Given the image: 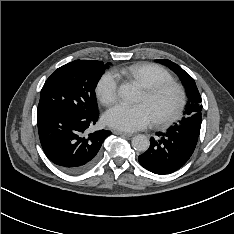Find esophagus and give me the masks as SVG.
Instances as JSON below:
<instances>
[{"label":"esophagus","instance_id":"1","mask_svg":"<svg viewBox=\"0 0 234 234\" xmlns=\"http://www.w3.org/2000/svg\"><path fill=\"white\" fill-rule=\"evenodd\" d=\"M114 134H117V135H121V136H125V137H132L133 134L132 133H126V132H122V131H114Z\"/></svg>","mask_w":234,"mask_h":234}]
</instances>
